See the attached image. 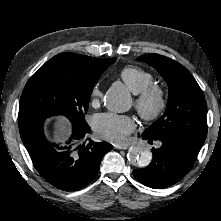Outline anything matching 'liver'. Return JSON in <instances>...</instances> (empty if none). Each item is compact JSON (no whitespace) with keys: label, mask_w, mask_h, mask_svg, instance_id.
<instances>
[{"label":"liver","mask_w":221,"mask_h":221,"mask_svg":"<svg viewBox=\"0 0 221 221\" xmlns=\"http://www.w3.org/2000/svg\"><path fill=\"white\" fill-rule=\"evenodd\" d=\"M69 122L65 118H59L54 122L53 133L57 139L69 134Z\"/></svg>","instance_id":"6515ba94"}]
</instances>
